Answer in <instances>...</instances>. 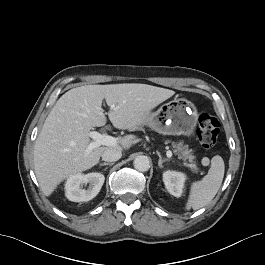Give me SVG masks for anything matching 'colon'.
<instances>
[{
    "mask_svg": "<svg viewBox=\"0 0 265 265\" xmlns=\"http://www.w3.org/2000/svg\"><path fill=\"white\" fill-rule=\"evenodd\" d=\"M219 121L207 112H202L198 118L197 136L205 149H212L219 133Z\"/></svg>",
    "mask_w": 265,
    "mask_h": 265,
    "instance_id": "1",
    "label": "colon"
}]
</instances>
